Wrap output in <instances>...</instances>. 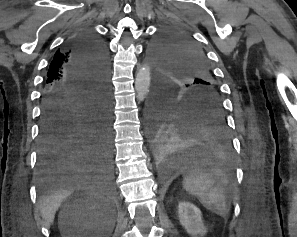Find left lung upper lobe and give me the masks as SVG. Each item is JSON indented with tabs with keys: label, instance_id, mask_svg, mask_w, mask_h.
<instances>
[{
	"label": "left lung upper lobe",
	"instance_id": "5c2ea615",
	"mask_svg": "<svg viewBox=\"0 0 297 237\" xmlns=\"http://www.w3.org/2000/svg\"><path fill=\"white\" fill-rule=\"evenodd\" d=\"M149 54L157 94L164 93L181 104L210 100L222 106L206 56L189 36L164 30L151 43Z\"/></svg>",
	"mask_w": 297,
	"mask_h": 237
}]
</instances>
